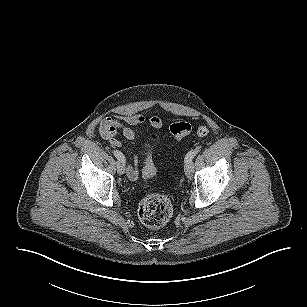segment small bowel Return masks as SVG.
I'll return each instance as SVG.
<instances>
[{"instance_id":"obj_1","label":"small bowel","mask_w":307,"mask_h":307,"mask_svg":"<svg viewBox=\"0 0 307 307\" xmlns=\"http://www.w3.org/2000/svg\"><path fill=\"white\" fill-rule=\"evenodd\" d=\"M148 124L151 128H161L163 122L160 117L152 116L145 117L142 114L113 116L103 119L99 126V132L103 139L108 141L113 147H122L121 141L117 135L121 133L126 139L133 140L140 127ZM127 176L130 180L134 181L138 178V158L134 157L133 163L127 167Z\"/></svg>"}]
</instances>
